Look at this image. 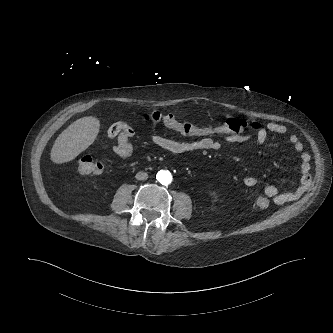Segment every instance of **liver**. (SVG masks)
<instances>
[{
	"mask_svg": "<svg viewBox=\"0 0 333 333\" xmlns=\"http://www.w3.org/2000/svg\"><path fill=\"white\" fill-rule=\"evenodd\" d=\"M100 121L93 116L83 117L70 124L55 140L50 159L62 164L75 159L97 138Z\"/></svg>",
	"mask_w": 333,
	"mask_h": 333,
	"instance_id": "obj_1",
	"label": "liver"
}]
</instances>
